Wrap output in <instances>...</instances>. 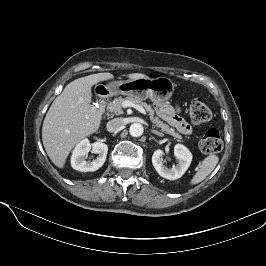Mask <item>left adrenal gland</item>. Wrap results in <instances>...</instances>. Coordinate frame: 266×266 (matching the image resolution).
I'll list each match as a JSON object with an SVG mask.
<instances>
[{
	"mask_svg": "<svg viewBox=\"0 0 266 266\" xmlns=\"http://www.w3.org/2000/svg\"><path fill=\"white\" fill-rule=\"evenodd\" d=\"M151 132L158 136H163V133L159 132L158 130L151 129Z\"/></svg>",
	"mask_w": 266,
	"mask_h": 266,
	"instance_id": "1",
	"label": "left adrenal gland"
}]
</instances>
